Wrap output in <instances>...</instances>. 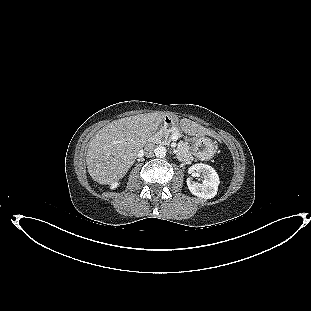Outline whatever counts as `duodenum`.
<instances>
[{"instance_id": "obj_1", "label": "duodenum", "mask_w": 311, "mask_h": 311, "mask_svg": "<svg viewBox=\"0 0 311 311\" xmlns=\"http://www.w3.org/2000/svg\"><path fill=\"white\" fill-rule=\"evenodd\" d=\"M173 124V119L170 117H167L164 121V125L167 127H170Z\"/></svg>"}]
</instances>
